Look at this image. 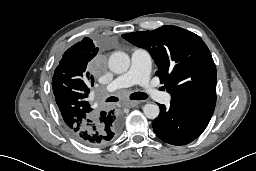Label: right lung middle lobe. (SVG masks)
Masks as SVG:
<instances>
[{
	"mask_svg": "<svg viewBox=\"0 0 256 171\" xmlns=\"http://www.w3.org/2000/svg\"><path fill=\"white\" fill-rule=\"evenodd\" d=\"M72 68L69 64H65L62 67V74H64L66 76V78H71L70 75H72ZM66 87L68 90H70L71 92H75V87L73 86V82L71 80H66Z\"/></svg>",
	"mask_w": 256,
	"mask_h": 171,
	"instance_id": "dd1d6c3e",
	"label": "right lung middle lobe"
}]
</instances>
